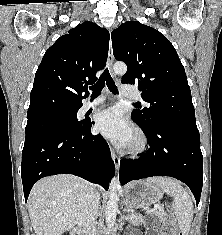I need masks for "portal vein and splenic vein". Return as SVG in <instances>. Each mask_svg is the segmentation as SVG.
I'll return each instance as SVG.
<instances>
[{
    "label": "portal vein and splenic vein",
    "instance_id": "1",
    "mask_svg": "<svg viewBox=\"0 0 222 235\" xmlns=\"http://www.w3.org/2000/svg\"><path fill=\"white\" fill-rule=\"evenodd\" d=\"M157 210H161V207L158 206V205H155L153 209H150V210H148L147 212H148V213H151V212H154V211H157Z\"/></svg>",
    "mask_w": 222,
    "mask_h": 235
}]
</instances>
